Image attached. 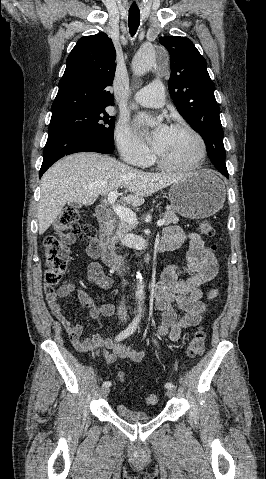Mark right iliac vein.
<instances>
[{
	"label": "right iliac vein",
	"instance_id": "right-iliac-vein-1",
	"mask_svg": "<svg viewBox=\"0 0 266 479\" xmlns=\"http://www.w3.org/2000/svg\"><path fill=\"white\" fill-rule=\"evenodd\" d=\"M109 392H110V388H109V387L103 386V387H101V389H100V393H101V396H102V397H106V396L109 394Z\"/></svg>",
	"mask_w": 266,
	"mask_h": 479
}]
</instances>
